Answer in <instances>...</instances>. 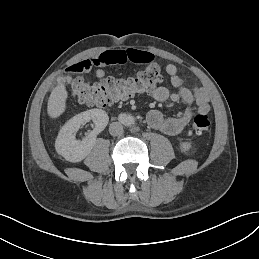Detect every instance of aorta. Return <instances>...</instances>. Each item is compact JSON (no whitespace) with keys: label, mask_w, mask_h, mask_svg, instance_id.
I'll use <instances>...</instances> for the list:
<instances>
[{"label":"aorta","mask_w":259,"mask_h":259,"mask_svg":"<svg viewBox=\"0 0 259 259\" xmlns=\"http://www.w3.org/2000/svg\"><path fill=\"white\" fill-rule=\"evenodd\" d=\"M123 124L125 126H131L134 124L135 120H134V117L131 116V115H126L124 118H123Z\"/></svg>","instance_id":"1"}]
</instances>
